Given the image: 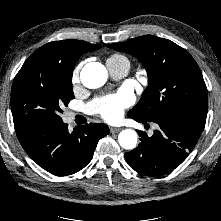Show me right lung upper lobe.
<instances>
[{"instance_id": "obj_1", "label": "right lung upper lobe", "mask_w": 221, "mask_h": 221, "mask_svg": "<svg viewBox=\"0 0 221 221\" xmlns=\"http://www.w3.org/2000/svg\"><path fill=\"white\" fill-rule=\"evenodd\" d=\"M98 49H100V46L98 45L71 39L47 43L34 53L46 57H60L68 60H78L82 54Z\"/></svg>"}]
</instances>
